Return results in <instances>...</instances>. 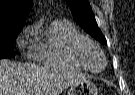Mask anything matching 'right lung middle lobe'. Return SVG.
<instances>
[{
  "instance_id": "dd1d6c3e",
  "label": "right lung middle lobe",
  "mask_w": 135,
  "mask_h": 95,
  "mask_svg": "<svg viewBox=\"0 0 135 95\" xmlns=\"http://www.w3.org/2000/svg\"><path fill=\"white\" fill-rule=\"evenodd\" d=\"M19 33L20 30L0 35V59L13 58L15 56L13 44Z\"/></svg>"
}]
</instances>
